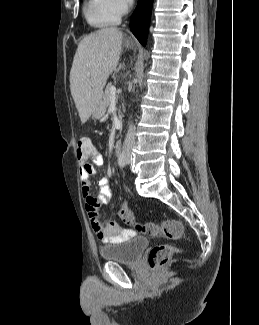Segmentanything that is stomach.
Segmentation results:
<instances>
[{"label":"stomach","instance_id":"obj_1","mask_svg":"<svg viewBox=\"0 0 259 325\" xmlns=\"http://www.w3.org/2000/svg\"><path fill=\"white\" fill-rule=\"evenodd\" d=\"M106 112V106L104 105L103 101L101 100L94 108L92 112V117L94 119H100L104 116Z\"/></svg>","mask_w":259,"mask_h":325}]
</instances>
